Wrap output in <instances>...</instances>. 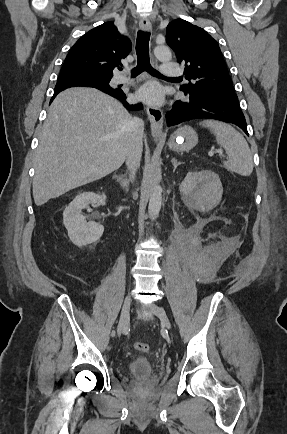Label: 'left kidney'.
Returning <instances> with one entry per match:
<instances>
[{
  "mask_svg": "<svg viewBox=\"0 0 287 434\" xmlns=\"http://www.w3.org/2000/svg\"><path fill=\"white\" fill-rule=\"evenodd\" d=\"M180 191L189 204L210 209L220 202L223 187L216 173L203 170L189 172L181 183Z\"/></svg>",
  "mask_w": 287,
  "mask_h": 434,
  "instance_id": "left-kidney-1",
  "label": "left kidney"
}]
</instances>
